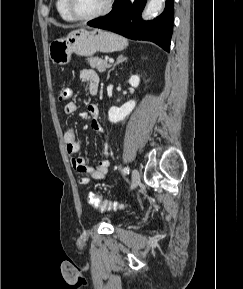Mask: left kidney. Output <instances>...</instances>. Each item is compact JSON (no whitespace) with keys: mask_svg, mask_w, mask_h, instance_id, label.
I'll use <instances>...</instances> for the list:
<instances>
[{"mask_svg":"<svg viewBox=\"0 0 243 289\" xmlns=\"http://www.w3.org/2000/svg\"><path fill=\"white\" fill-rule=\"evenodd\" d=\"M140 83V78L138 75H133L129 79V84L133 87L136 88L138 87ZM136 102L135 100H130L123 104L120 108L118 107H111L108 111V119L111 123H117L122 120H124L127 116L130 115V113L133 111L135 108Z\"/></svg>","mask_w":243,"mask_h":289,"instance_id":"left-kidney-1","label":"left kidney"}]
</instances>
